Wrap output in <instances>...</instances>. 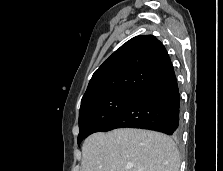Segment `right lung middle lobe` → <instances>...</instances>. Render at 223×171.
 Returning a JSON list of instances; mask_svg holds the SVG:
<instances>
[{
	"mask_svg": "<svg viewBox=\"0 0 223 171\" xmlns=\"http://www.w3.org/2000/svg\"><path fill=\"white\" fill-rule=\"evenodd\" d=\"M138 93L108 94L80 107L78 145L90 134L97 132L107 121L129 104Z\"/></svg>",
	"mask_w": 223,
	"mask_h": 171,
	"instance_id": "1",
	"label": "right lung middle lobe"
}]
</instances>
